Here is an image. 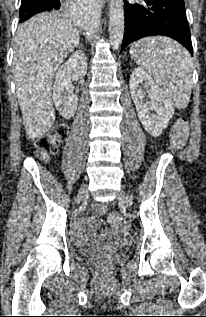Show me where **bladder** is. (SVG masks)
I'll use <instances>...</instances> for the list:
<instances>
[{"instance_id":"obj_1","label":"bladder","mask_w":206,"mask_h":317,"mask_svg":"<svg viewBox=\"0 0 206 317\" xmlns=\"http://www.w3.org/2000/svg\"><path fill=\"white\" fill-rule=\"evenodd\" d=\"M115 252H117V250L110 247L105 241L99 240L82 248L79 252V255L83 258H92L103 254H112Z\"/></svg>"}]
</instances>
